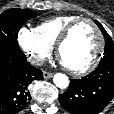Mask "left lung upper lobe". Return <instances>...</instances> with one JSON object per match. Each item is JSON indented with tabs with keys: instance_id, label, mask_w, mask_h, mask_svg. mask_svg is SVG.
Returning <instances> with one entry per match:
<instances>
[{
	"instance_id": "5c2ea615",
	"label": "left lung upper lobe",
	"mask_w": 114,
	"mask_h": 114,
	"mask_svg": "<svg viewBox=\"0 0 114 114\" xmlns=\"http://www.w3.org/2000/svg\"><path fill=\"white\" fill-rule=\"evenodd\" d=\"M95 23L100 28L102 34L105 37V48L100 64L114 63V42L109 34L105 31L103 26L97 21H95Z\"/></svg>"
}]
</instances>
